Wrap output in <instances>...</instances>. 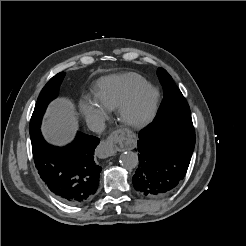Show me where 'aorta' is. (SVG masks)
I'll use <instances>...</instances> for the list:
<instances>
[{
    "label": "aorta",
    "mask_w": 246,
    "mask_h": 246,
    "mask_svg": "<svg viewBox=\"0 0 246 246\" xmlns=\"http://www.w3.org/2000/svg\"><path fill=\"white\" fill-rule=\"evenodd\" d=\"M120 164L125 169H133L138 163V155L132 151H126L120 155Z\"/></svg>",
    "instance_id": "obj_1"
}]
</instances>
